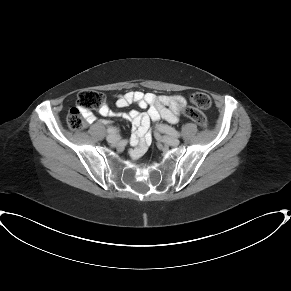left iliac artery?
<instances>
[{
  "instance_id": "44dca946",
  "label": "left iliac artery",
  "mask_w": 291,
  "mask_h": 291,
  "mask_svg": "<svg viewBox=\"0 0 291 291\" xmlns=\"http://www.w3.org/2000/svg\"><path fill=\"white\" fill-rule=\"evenodd\" d=\"M165 131L175 137H180V133L170 126H165Z\"/></svg>"
}]
</instances>
